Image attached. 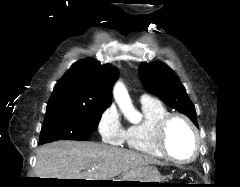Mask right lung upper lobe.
Masks as SVG:
<instances>
[{
    "mask_svg": "<svg viewBox=\"0 0 240 187\" xmlns=\"http://www.w3.org/2000/svg\"><path fill=\"white\" fill-rule=\"evenodd\" d=\"M116 78V67L101 65L93 58L79 60L57 82L47 108L74 105L106 109Z\"/></svg>",
    "mask_w": 240,
    "mask_h": 187,
    "instance_id": "1",
    "label": "right lung upper lobe"
}]
</instances>
